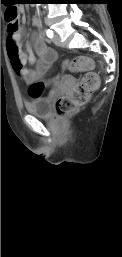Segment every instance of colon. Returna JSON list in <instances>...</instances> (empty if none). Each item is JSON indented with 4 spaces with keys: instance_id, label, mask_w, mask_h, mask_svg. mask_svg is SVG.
<instances>
[{
    "instance_id": "colon-1",
    "label": "colon",
    "mask_w": 122,
    "mask_h": 257,
    "mask_svg": "<svg viewBox=\"0 0 122 257\" xmlns=\"http://www.w3.org/2000/svg\"><path fill=\"white\" fill-rule=\"evenodd\" d=\"M5 19L9 32H14L18 27V5H4ZM94 68L92 59L78 56L63 62L59 74H54V79H39L38 82L28 83V98H49L52 90L63 83V75L70 73L87 72L82 81L78 83L67 95L60 97L56 102L57 115L65 118L73 114L79 107L87 103L91 94L99 86V77L91 72ZM61 73V74H60Z\"/></svg>"
}]
</instances>
